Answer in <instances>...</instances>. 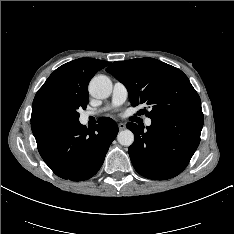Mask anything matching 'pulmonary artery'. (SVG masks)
Returning <instances> with one entry per match:
<instances>
[{
  "label": "pulmonary artery",
  "mask_w": 234,
  "mask_h": 234,
  "mask_svg": "<svg viewBox=\"0 0 234 234\" xmlns=\"http://www.w3.org/2000/svg\"><path fill=\"white\" fill-rule=\"evenodd\" d=\"M127 97H128V90H127L126 86L122 82H115L114 86H113L110 105L107 106V107H104L103 109H101V110H99L97 112H94V111L87 112L84 115V117L88 118L91 115H96V114H98V113H100L102 111L107 110L109 107L120 106L127 100ZM151 123H152V120L150 118H147L145 120V124L147 126H150Z\"/></svg>",
  "instance_id": "pulmonary-artery-1"
}]
</instances>
